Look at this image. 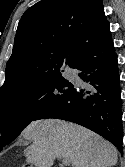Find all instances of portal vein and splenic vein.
<instances>
[{
  "instance_id": "18ae733b",
  "label": "portal vein and splenic vein",
  "mask_w": 125,
  "mask_h": 167,
  "mask_svg": "<svg viewBox=\"0 0 125 167\" xmlns=\"http://www.w3.org/2000/svg\"><path fill=\"white\" fill-rule=\"evenodd\" d=\"M63 164L64 165H69L70 164V160L68 158H63Z\"/></svg>"
}]
</instances>
